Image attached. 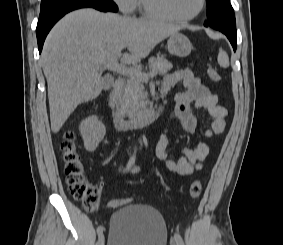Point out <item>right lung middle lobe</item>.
<instances>
[{
  "instance_id": "1",
  "label": "right lung middle lobe",
  "mask_w": 283,
  "mask_h": 245,
  "mask_svg": "<svg viewBox=\"0 0 283 245\" xmlns=\"http://www.w3.org/2000/svg\"><path fill=\"white\" fill-rule=\"evenodd\" d=\"M71 1H74V0H42L41 1V11L44 9H47L53 6H57L60 4H64L67 2H71Z\"/></svg>"
}]
</instances>
